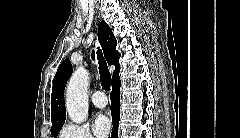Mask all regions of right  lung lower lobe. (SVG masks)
Wrapping results in <instances>:
<instances>
[{"label": "right lung lower lobe", "instance_id": "1", "mask_svg": "<svg viewBox=\"0 0 240 138\" xmlns=\"http://www.w3.org/2000/svg\"><path fill=\"white\" fill-rule=\"evenodd\" d=\"M111 112L113 130L110 138H118V124L120 117V79L112 82L111 92Z\"/></svg>", "mask_w": 240, "mask_h": 138}]
</instances>
